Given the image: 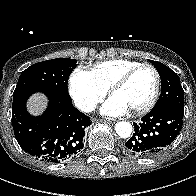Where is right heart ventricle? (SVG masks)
I'll list each match as a JSON object with an SVG mask.
<instances>
[{
  "label": "right heart ventricle",
  "mask_w": 196,
  "mask_h": 196,
  "mask_svg": "<svg viewBox=\"0 0 196 196\" xmlns=\"http://www.w3.org/2000/svg\"><path fill=\"white\" fill-rule=\"evenodd\" d=\"M140 64L129 59H111L96 63L90 72L97 82L108 90L119 77Z\"/></svg>",
  "instance_id": "right-heart-ventricle-1"
}]
</instances>
